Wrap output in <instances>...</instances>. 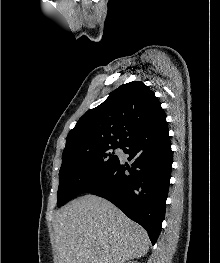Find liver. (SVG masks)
<instances>
[{
    "instance_id": "1",
    "label": "liver",
    "mask_w": 220,
    "mask_h": 263,
    "mask_svg": "<svg viewBox=\"0 0 220 263\" xmlns=\"http://www.w3.org/2000/svg\"><path fill=\"white\" fill-rule=\"evenodd\" d=\"M58 263H124L147 254V232L105 199L85 195L55 213Z\"/></svg>"
}]
</instances>
